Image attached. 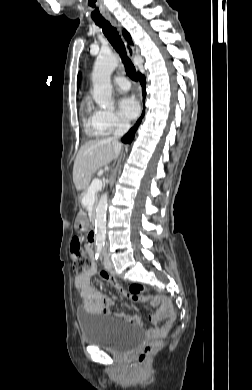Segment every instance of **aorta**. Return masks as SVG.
Here are the masks:
<instances>
[{
  "label": "aorta",
  "mask_w": 252,
  "mask_h": 390,
  "mask_svg": "<svg viewBox=\"0 0 252 390\" xmlns=\"http://www.w3.org/2000/svg\"><path fill=\"white\" fill-rule=\"evenodd\" d=\"M117 65L118 58L115 55H99L93 67V98L103 109L113 107L110 77ZM107 201V193L102 194L96 208L95 238L99 244H104L106 240Z\"/></svg>",
  "instance_id": "obj_1"
}]
</instances>
